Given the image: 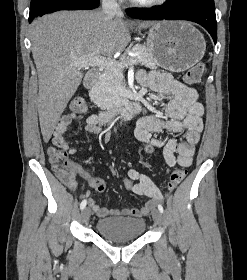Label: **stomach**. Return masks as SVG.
I'll list each match as a JSON object with an SVG mask.
<instances>
[{
  "instance_id": "0dacf381",
  "label": "stomach",
  "mask_w": 247,
  "mask_h": 280,
  "mask_svg": "<svg viewBox=\"0 0 247 280\" xmlns=\"http://www.w3.org/2000/svg\"><path fill=\"white\" fill-rule=\"evenodd\" d=\"M148 28L147 49L160 67L183 72L203 58L205 39L191 23L159 21Z\"/></svg>"
}]
</instances>
